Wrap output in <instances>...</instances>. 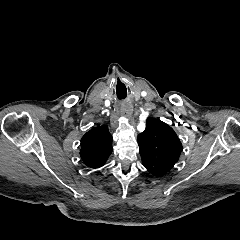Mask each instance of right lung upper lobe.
I'll return each mask as SVG.
<instances>
[{
  "label": "right lung upper lobe",
  "instance_id": "1",
  "mask_svg": "<svg viewBox=\"0 0 240 240\" xmlns=\"http://www.w3.org/2000/svg\"><path fill=\"white\" fill-rule=\"evenodd\" d=\"M112 153V136L107 126L91 129L81 139L80 156L86 166L102 167Z\"/></svg>",
  "mask_w": 240,
  "mask_h": 240
}]
</instances>
